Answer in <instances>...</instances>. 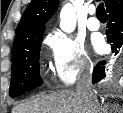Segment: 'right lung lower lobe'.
Instances as JSON below:
<instances>
[{"mask_svg": "<svg viewBox=\"0 0 123 113\" xmlns=\"http://www.w3.org/2000/svg\"><path fill=\"white\" fill-rule=\"evenodd\" d=\"M109 22L107 24V40L111 43L112 52L118 53L123 45V0H111L107 7ZM105 61H100L93 71V83L105 77Z\"/></svg>", "mask_w": 123, "mask_h": 113, "instance_id": "right-lung-lower-lobe-1", "label": "right lung lower lobe"}]
</instances>
